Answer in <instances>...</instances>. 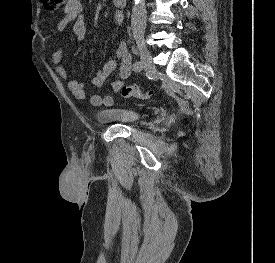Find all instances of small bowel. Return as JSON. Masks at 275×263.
Here are the masks:
<instances>
[{
	"instance_id": "c3829d8e",
	"label": "small bowel",
	"mask_w": 275,
	"mask_h": 263,
	"mask_svg": "<svg viewBox=\"0 0 275 263\" xmlns=\"http://www.w3.org/2000/svg\"><path fill=\"white\" fill-rule=\"evenodd\" d=\"M113 21L116 25H120L123 21V15L120 11H115ZM71 25L73 35L77 40L82 41L86 36V25L83 17V5L81 0H67L64 7V16L57 25L58 32H64ZM63 53L60 48L56 49L52 55V61L57 65V73L62 78L67 80V85L72 94L79 100L88 98L90 104L94 107H110L113 104V95L105 93L103 95L91 94L88 95L84 85L75 79L69 78V72L65 66L61 64ZM119 64L117 78L111 83V88L114 92L121 89L125 79L132 72V60L128 51L127 45L121 42L116 50V58L108 59L95 75L90 78V83L95 87H101L106 79L114 72Z\"/></svg>"
}]
</instances>
